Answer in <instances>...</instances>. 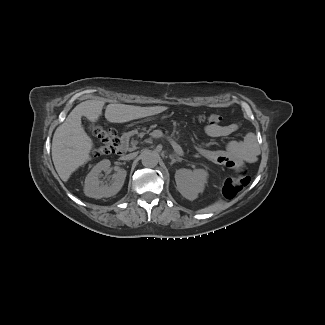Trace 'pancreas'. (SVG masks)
Returning <instances> with one entry per match:
<instances>
[{
    "label": "pancreas",
    "mask_w": 325,
    "mask_h": 325,
    "mask_svg": "<svg viewBox=\"0 0 325 325\" xmlns=\"http://www.w3.org/2000/svg\"><path fill=\"white\" fill-rule=\"evenodd\" d=\"M149 132H150V129L149 128L142 129L141 130V133L137 137H134L133 138L132 146H134V145L135 146H138L139 145L138 140H141L144 136H147Z\"/></svg>",
    "instance_id": "1"
}]
</instances>
